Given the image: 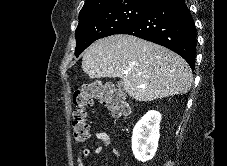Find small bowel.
I'll return each mask as SVG.
<instances>
[{"instance_id": "small-bowel-1", "label": "small bowel", "mask_w": 227, "mask_h": 166, "mask_svg": "<svg viewBox=\"0 0 227 166\" xmlns=\"http://www.w3.org/2000/svg\"><path fill=\"white\" fill-rule=\"evenodd\" d=\"M96 136L100 141V146L94 149L95 154L102 152L103 147L111 148L116 157H121V152L113 147L110 135L102 130L96 132ZM91 151L89 149H84L78 157V166H90L87 164V160L90 157Z\"/></svg>"}]
</instances>
